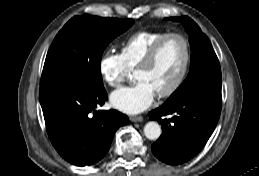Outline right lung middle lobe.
I'll use <instances>...</instances> for the list:
<instances>
[{
  "mask_svg": "<svg viewBox=\"0 0 259 176\" xmlns=\"http://www.w3.org/2000/svg\"><path fill=\"white\" fill-rule=\"evenodd\" d=\"M133 23L132 19L87 14L73 17L59 31L49 48L40 87L63 84L103 87L100 71L102 53Z\"/></svg>",
  "mask_w": 259,
  "mask_h": 176,
  "instance_id": "obj_1",
  "label": "right lung middle lobe"
}]
</instances>
